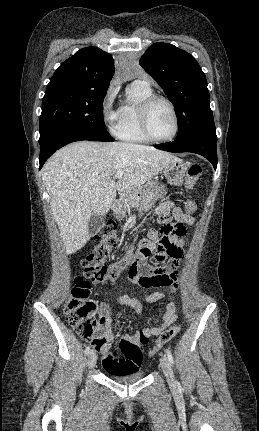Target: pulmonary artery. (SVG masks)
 Returning <instances> with one entry per match:
<instances>
[{
	"label": "pulmonary artery",
	"instance_id": "e3ab8cb5",
	"mask_svg": "<svg viewBox=\"0 0 259 431\" xmlns=\"http://www.w3.org/2000/svg\"><path fill=\"white\" fill-rule=\"evenodd\" d=\"M132 85L141 86V87H149V81L144 80H136L132 83Z\"/></svg>",
	"mask_w": 259,
	"mask_h": 431
}]
</instances>
